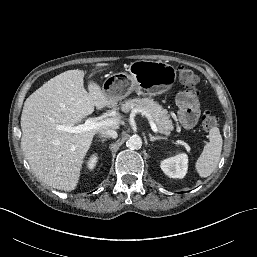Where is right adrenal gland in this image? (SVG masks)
Instances as JSON below:
<instances>
[{
    "mask_svg": "<svg viewBox=\"0 0 257 257\" xmlns=\"http://www.w3.org/2000/svg\"><path fill=\"white\" fill-rule=\"evenodd\" d=\"M100 140H101V142L102 143H104L105 142V140H107V137H105V136H100V138H99Z\"/></svg>",
    "mask_w": 257,
    "mask_h": 257,
    "instance_id": "2a0ac1e0",
    "label": "right adrenal gland"
}]
</instances>
